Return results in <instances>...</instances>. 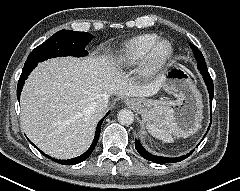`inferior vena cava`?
<instances>
[{"instance_id":"1","label":"inferior vena cava","mask_w":240,"mask_h":191,"mask_svg":"<svg viewBox=\"0 0 240 191\" xmlns=\"http://www.w3.org/2000/svg\"><path fill=\"white\" fill-rule=\"evenodd\" d=\"M108 103H109V97L108 96L100 97L93 103V107L98 112L103 113L107 109Z\"/></svg>"}]
</instances>
